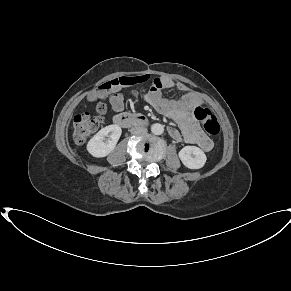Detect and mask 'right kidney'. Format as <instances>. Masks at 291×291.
Masks as SVG:
<instances>
[{
    "mask_svg": "<svg viewBox=\"0 0 291 291\" xmlns=\"http://www.w3.org/2000/svg\"><path fill=\"white\" fill-rule=\"evenodd\" d=\"M121 133V127L118 125L102 128L87 143V151L96 158L106 157L115 149Z\"/></svg>",
    "mask_w": 291,
    "mask_h": 291,
    "instance_id": "1",
    "label": "right kidney"
}]
</instances>
